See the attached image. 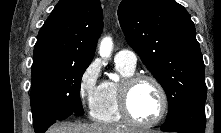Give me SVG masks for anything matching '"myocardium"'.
Returning <instances> with one entry per match:
<instances>
[{
  "mask_svg": "<svg viewBox=\"0 0 221 133\" xmlns=\"http://www.w3.org/2000/svg\"><path fill=\"white\" fill-rule=\"evenodd\" d=\"M141 81H150L157 88L161 98V108L158 115L150 121H140L136 119L130 109V95L136 84ZM119 110L127 122L138 127H152L158 124L166 115L168 110V97L162 83L154 76L148 74H133L122 80L118 95Z\"/></svg>",
  "mask_w": 221,
  "mask_h": 133,
  "instance_id": "1",
  "label": "myocardium"
}]
</instances>
